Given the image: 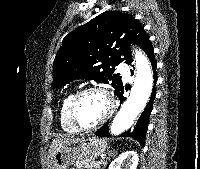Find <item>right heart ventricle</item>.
<instances>
[{"instance_id":"obj_1","label":"right heart ventricle","mask_w":200,"mask_h":169,"mask_svg":"<svg viewBox=\"0 0 200 169\" xmlns=\"http://www.w3.org/2000/svg\"><path fill=\"white\" fill-rule=\"evenodd\" d=\"M76 94L74 90H70L66 92L61 99L60 102V125L61 128L68 133H76L78 132L77 129L72 125L70 118H69V104L73 98V96Z\"/></svg>"}]
</instances>
